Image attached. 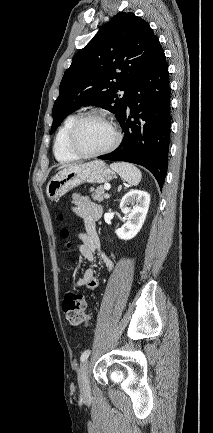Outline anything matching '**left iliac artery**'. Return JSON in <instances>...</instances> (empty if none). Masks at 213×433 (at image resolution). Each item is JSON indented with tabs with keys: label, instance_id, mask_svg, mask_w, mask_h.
I'll list each match as a JSON object with an SVG mask.
<instances>
[{
	"label": "left iliac artery",
	"instance_id": "44dca946",
	"mask_svg": "<svg viewBox=\"0 0 213 433\" xmlns=\"http://www.w3.org/2000/svg\"><path fill=\"white\" fill-rule=\"evenodd\" d=\"M89 355H90V350L89 349L85 350L80 357L81 362H84L89 357Z\"/></svg>",
	"mask_w": 213,
	"mask_h": 433
}]
</instances>
